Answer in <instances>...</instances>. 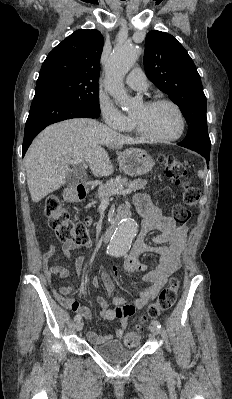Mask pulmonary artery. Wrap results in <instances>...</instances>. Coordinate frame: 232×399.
Listing matches in <instances>:
<instances>
[{
    "mask_svg": "<svg viewBox=\"0 0 232 399\" xmlns=\"http://www.w3.org/2000/svg\"><path fill=\"white\" fill-rule=\"evenodd\" d=\"M130 77H128V89L139 90V96H148L149 91L141 84H146V74L141 73L140 69H131Z\"/></svg>",
    "mask_w": 232,
    "mask_h": 399,
    "instance_id": "pulmonary-artery-1",
    "label": "pulmonary artery"
}]
</instances>
